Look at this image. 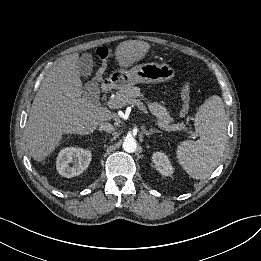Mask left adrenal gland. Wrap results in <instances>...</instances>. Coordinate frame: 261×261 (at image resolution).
<instances>
[{"mask_svg":"<svg viewBox=\"0 0 261 261\" xmlns=\"http://www.w3.org/2000/svg\"><path fill=\"white\" fill-rule=\"evenodd\" d=\"M154 133H161V131H159V130H154V129H150L149 131H144V134L146 135V136H150V135H152V134H154Z\"/></svg>","mask_w":261,"mask_h":261,"instance_id":"obj_1","label":"left adrenal gland"}]
</instances>
